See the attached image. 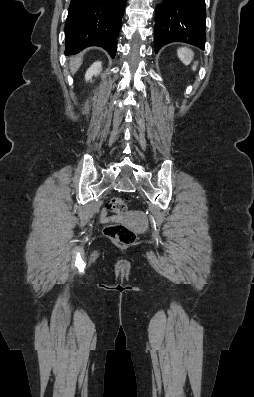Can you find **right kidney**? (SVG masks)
Masks as SVG:
<instances>
[{
  "label": "right kidney",
  "mask_w": 254,
  "mask_h": 397,
  "mask_svg": "<svg viewBox=\"0 0 254 397\" xmlns=\"http://www.w3.org/2000/svg\"><path fill=\"white\" fill-rule=\"evenodd\" d=\"M102 69V63L97 61L91 65V67L86 71L85 80L92 81L93 76H97Z\"/></svg>",
  "instance_id": "1"
}]
</instances>
